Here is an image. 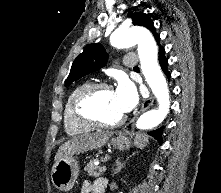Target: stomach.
<instances>
[{
  "label": "stomach",
  "mask_w": 221,
  "mask_h": 193,
  "mask_svg": "<svg viewBox=\"0 0 221 193\" xmlns=\"http://www.w3.org/2000/svg\"><path fill=\"white\" fill-rule=\"evenodd\" d=\"M148 143V136L142 133H136L129 137L124 134H119L112 138L110 144L119 150H128L132 146L143 148ZM79 174V165L76 159L72 156L60 159L54 163L51 171V180L53 185L60 191H69Z\"/></svg>",
  "instance_id": "stomach-1"
}]
</instances>
